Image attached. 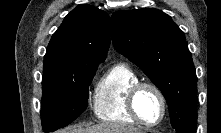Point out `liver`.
Segmentation results:
<instances>
[{
  "instance_id": "6515ba94",
  "label": "liver",
  "mask_w": 221,
  "mask_h": 133,
  "mask_svg": "<svg viewBox=\"0 0 221 133\" xmlns=\"http://www.w3.org/2000/svg\"><path fill=\"white\" fill-rule=\"evenodd\" d=\"M58 133H141V131L121 123L103 122L87 128H66Z\"/></svg>"
}]
</instances>
